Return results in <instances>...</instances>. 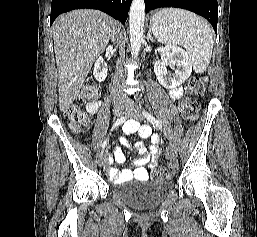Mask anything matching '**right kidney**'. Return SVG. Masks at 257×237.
Wrapping results in <instances>:
<instances>
[{
    "instance_id": "1",
    "label": "right kidney",
    "mask_w": 257,
    "mask_h": 237,
    "mask_svg": "<svg viewBox=\"0 0 257 237\" xmlns=\"http://www.w3.org/2000/svg\"><path fill=\"white\" fill-rule=\"evenodd\" d=\"M93 75L95 79L99 82H103L106 79L107 76V65L103 61L102 57H99L93 68Z\"/></svg>"
}]
</instances>
